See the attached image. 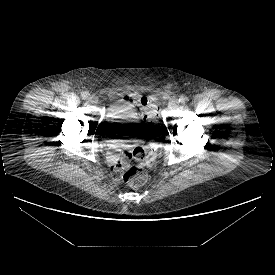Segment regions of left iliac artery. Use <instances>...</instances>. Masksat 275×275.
Listing matches in <instances>:
<instances>
[{
	"mask_svg": "<svg viewBox=\"0 0 275 275\" xmlns=\"http://www.w3.org/2000/svg\"><path fill=\"white\" fill-rule=\"evenodd\" d=\"M188 100H189V99H188L187 96H181V97L179 98V102L182 103V104L187 103Z\"/></svg>",
	"mask_w": 275,
	"mask_h": 275,
	"instance_id": "1",
	"label": "left iliac artery"
}]
</instances>
